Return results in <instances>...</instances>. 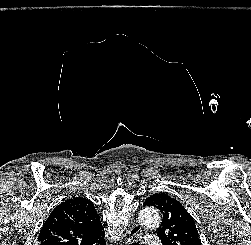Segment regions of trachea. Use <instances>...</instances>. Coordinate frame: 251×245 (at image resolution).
I'll return each mask as SVG.
<instances>
[{
  "mask_svg": "<svg viewBox=\"0 0 251 245\" xmlns=\"http://www.w3.org/2000/svg\"><path fill=\"white\" fill-rule=\"evenodd\" d=\"M133 245H138V244H136V243H133Z\"/></svg>",
  "mask_w": 251,
  "mask_h": 245,
  "instance_id": "obj_1",
  "label": "trachea"
}]
</instances>
